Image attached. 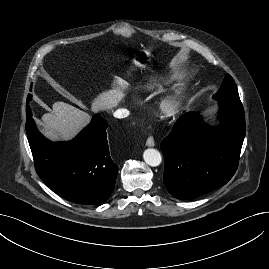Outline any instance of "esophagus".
Listing matches in <instances>:
<instances>
[{
	"mask_svg": "<svg viewBox=\"0 0 269 269\" xmlns=\"http://www.w3.org/2000/svg\"><path fill=\"white\" fill-rule=\"evenodd\" d=\"M146 145L148 147H153L155 145V141H154L153 137L150 136V137L147 138Z\"/></svg>",
	"mask_w": 269,
	"mask_h": 269,
	"instance_id": "34e87169",
	"label": "esophagus"
}]
</instances>
